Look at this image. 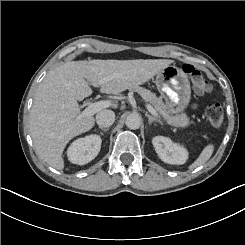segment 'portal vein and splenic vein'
<instances>
[{"mask_svg": "<svg viewBox=\"0 0 245 245\" xmlns=\"http://www.w3.org/2000/svg\"><path fill=\"white\" fill-rule=\"evenodd\" d=\"M114 104H115L114 100H109V99L97 101V102L92 103L91 105H89L84 110L83 114L86 115V116H92L95 113L99 112L100 110L112 107ZM145 108L151 114H155V110H154L153 106H151L149 103L145 104Z\"/></svg>", "mask_w": 245, "mask_h": 245, "instance_id": "portal-vein-and-splenic-vein-1", "label": "portal vein and splenic vein"}]
</instances>
